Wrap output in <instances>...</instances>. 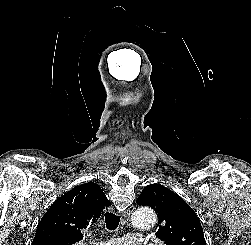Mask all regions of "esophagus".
Returning <instances> with one entry per match:
<instances>
[{"label": "esophagus", "mask_w": 251, "mask_h": 245, "mask_svg": "<svg viewBox=\"0 0 251 245\" xmlns=\"http://www.w3.org/2000/svg\"><path fill=\"white\" fill-rule=\"evenodd\" d=\"M135 207L133 205H131L123 214V222H126L130 216L132 215V213L134 212Z\"/></svg>", "instance_id": "obj_1"}]
</instances>
